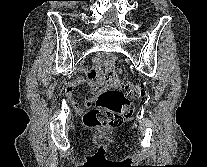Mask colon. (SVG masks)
Returning <instances> with one entry per match:
<instances>
[{"label": "colon", "instance_id": "5ec220e1", "mask_svg": "<svg viewBox=\"0 0 207 167\" xmlns=\"http://www.w3.org/2000/svg\"><path fill=\"white\" fill-rule=\"evenodd\" d=\"M117 60L110 57L105 66L107 88L98 96L95 106L84 116L87 127L119 126L133 112L132 102L144 95L145 87L120 78L114 71Z\"/></svg>", "mask_w": 207, "mask_h": 167}]
</instances>
